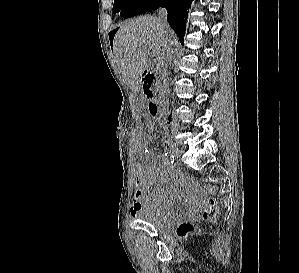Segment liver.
Wrapping results in <instances>:
<instances>
[{"label":"liver","instance_id":"6515ba94","mask_svg":"<svg viewBox=\"0 0 299 273\" xmlns=\"http://www.w3.org/2000/svg\"><path fill=\"white\" fill-rule=\"evenodd\" d=\"M176 42L174 32L163 28L157 17L146 15L120 25L113 53L118 69L129 86L138 93L141 77L148 67V56L154 55L161 64L167 50Z\"/></svg>","mask_w":299,"mask_h":273}]
</instances>
